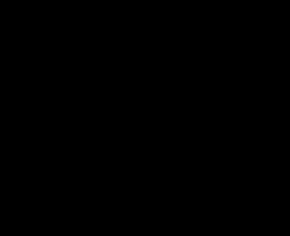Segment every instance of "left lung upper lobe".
<instances>
[{
    "instance_id": "left-lung-upper-lobe-1",
    "label": "left lung upper lobe",
    "mask_w": 290,
    "mask_h": 236,
    "mask_svg": "<svg viewBox=\"0 0 290 236\" xmlns=\"http://www.w3.org/2000/svg\"><path fill=\"white\" fill-rule=\"evenodd\" d=\"M188 51L190 53L193 52L199 58L203 68L200 95L189 113L205 109L225 95L237 92L233 77L222 63L204 55L200 51Z\"/></svg>"
}]
</instances>
